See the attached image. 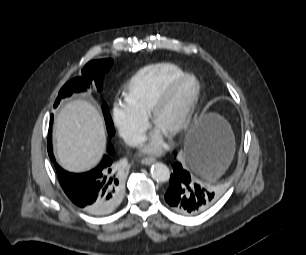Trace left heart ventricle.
I'll use <instances>...</instances> for the list:
<instances>
[{
    "label": "left heart ventricle",
    "mask_w": 306,
    "mask_h": 255,
    "mask_svg": "<svg viewBox=\"0 0 306 255\" xmlns=\"http://www.w3.org/2000/svg\"><path fill=\"white\" fill-rule=\"evenodd\" d=\"M194 90V82H187L163 108L158 116L156 126L168 131L180 119Z\"/></svg>",
    "instance_id": "b2bd125f"
}]
</instances>
